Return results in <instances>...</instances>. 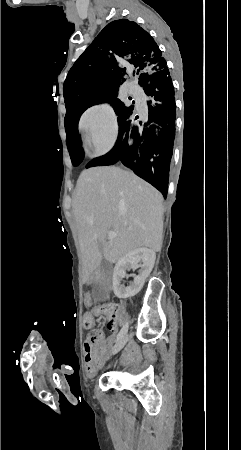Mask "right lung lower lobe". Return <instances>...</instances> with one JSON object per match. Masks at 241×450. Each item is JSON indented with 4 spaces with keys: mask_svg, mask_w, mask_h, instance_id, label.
Here are the masks:
<instances>
[{
    "mask_svg": "<svg viewBox=\"0 0 241 450\" xmlns=\"http://www.w3.org/2000/svg\"><path fill=\"white\" fill-rule=\"evenodd\" d=\"M139 84L150 97L147 122L136 126L132 122L137 117H131L119 123L118 139L113 149L93 159L86 167L122 163L166 198L176 119L174 87L167 64L143 73ZM80 116L70 115L64 123L69 150L84 154L77 129Z\"/></svg>",
    "mask_w": 241,
    "mask_h": 450,
    "instance_id": "right-lung-lower-lobe-1",
    "label": "right lung lower lobe"
}]
</instances>
